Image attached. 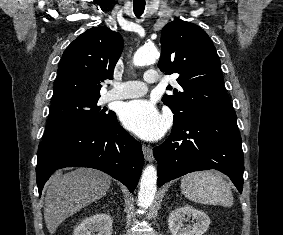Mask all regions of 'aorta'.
<instances>
[{"label":"aorta","mask_w":283,"mask_h":235,"mask_svg":"<svg viewBox=\"0 0 283 235\" xmlns=\"http://www.w3.org/2000/svg\"><path fill=\"white\" fill-rule=\"evenodd\" d=\"M159 58V51L155 46H143L136 51L133 57L135 66H145ZM157 170L153 165H148L142 172L140 189L138 193L139 205L148 208L156 193Z\"/></svg>","instance_id":"aorta-1"}]
</instances>
